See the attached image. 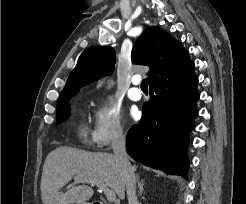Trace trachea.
Here are the masks:
<instances>
[{"label":"trachea","mask_w":246,"mask_h":204,"mask_svg":"<svg viewBox=\"0 0 246 204\" xmlns=\"http://www.w3.org/2000/svg\"><path fill=\"white\" fill-rule=\"evenodd\" d=\"M141 89L142 90L143 89H148V79L147 78H145V79L142 80V82H141Z\"/></svg>","instance_id":"obj_1"}]
</instances>
